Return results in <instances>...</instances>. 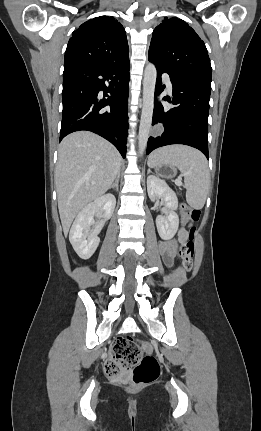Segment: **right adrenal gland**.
<instances>
[{
	"label": "right adrenal gland",
	"instance_id": "2a0ac1e0",
	"mask_svg": "<svg viewBox=\"0 0 261 431\" xmlns=\"http://www.w3.org/2000/svg\"><path fill=\"white\" fill-rule=\"evenodd\" d=\"M119 177H120V175L117 176L115 182L110 186V189H115L116 191H118V189H119Z\"/></svg>",
	"mask_w": 261,
	"mask_h": 431
}]
</instances>
